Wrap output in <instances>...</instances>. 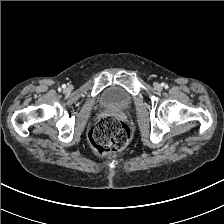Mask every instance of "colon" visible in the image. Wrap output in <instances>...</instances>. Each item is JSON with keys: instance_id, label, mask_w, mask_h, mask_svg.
<instances>
[{"instance_id": "1", "label": "colon", "mask_w": 224, "mask_h": 224, "mask_svg": "<svg viewBox=\"0 0 224 224\" xmlns=\"http://www.w3.org/2000/svg\"><path fill=\"white\" fill-rule=\"evenodd\" d=\"M130 135L128 125L121 119L102 117L90 131V147L98 156L112 155L128 144Z\"/></svg>"}]
</instances>
